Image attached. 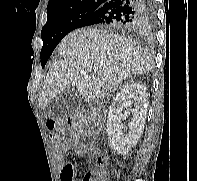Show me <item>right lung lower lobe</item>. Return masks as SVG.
Masks as SVG:
<instances>
[{"label": "right lung lower lobe", "mask_w": 197, "mask_h": 181, "mask_svg": "<svg viewBox=\"0 0 197 181\" xmlns=\"http://www.w3.org/2000/svg\"><path fill=\"white\" fill-rule=\"evenodd\" d=\"M153 0H108L86 17L78 28L105 25L128 31L141 29L153 17Z\"/></svg>", "instance_id": "right-lung-lower-lobe-1"}]
</instances>
